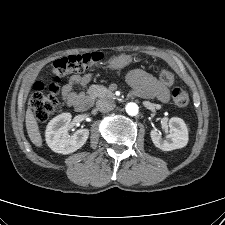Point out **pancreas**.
<instances>
[{
    "mask_svg": "<svg viewBox=\"0 0 225 225\" xmlns=\"http://www.w3.org/2000/svg\"><path fill=\"white\" fill-rule=\"evenodd\" d=\"M88 94L93 97H112L113 93L104 86L101 85H93L88 89Z\"/></svg>",
    "mask_w": 225,
    "mask_h": 225,
    "instance_id": "cf45deb5",
    "label": "pancreas"
}]
</instances>
